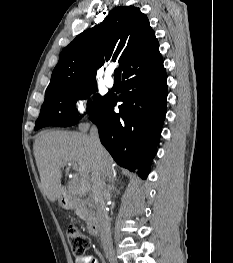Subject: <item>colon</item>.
<instances>
[{
    "instance_id": "1",
    "label": "colon",
    "mask_w": 233,
    "mask_h": 263,
    "mask_svg": "<svg viewBox=\"0 0 233 263\" xmlns=\"http://www.w3.org/2000/svg\"><path fill=\"white\" fill-rule=\"evenodd\" d=\"M72 254L76 259H81L86 255L90 247L88 236L76 227H69L66 232Z\"/></svg>"
}]
</instances>
